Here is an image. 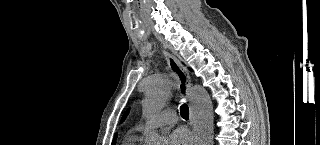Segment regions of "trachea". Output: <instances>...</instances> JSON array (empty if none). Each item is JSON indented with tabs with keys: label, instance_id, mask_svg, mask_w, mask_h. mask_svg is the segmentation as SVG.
I'll return each mask as SVG.
<instances>
[{
	"label": "trachea",
	"instance_id": "3493384b",
	"mask_svg": "<svg viewBox=\"0 0 320 145\" xmlns=\"http://www.w3.org/2000/svg\"><path fill=\"white\" fill-rule=\"evenodd\" d=\"M180 114H181L182 118H184V119H188L189 118V109H188V106L186 104L181 105Z\"/></svg>",
	"mask_w": 320,
	"mask_h": 145
}]
</instances>
